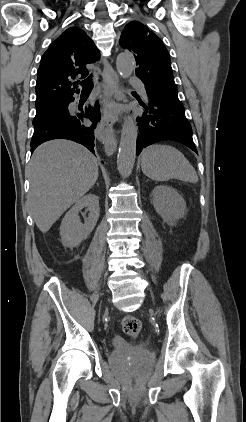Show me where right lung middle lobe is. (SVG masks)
<instances>
[{"mask_svg":"<svg viewBox=\"0 0 246 422\" xmlns=\"http://www.w3.org/2000/svg\"><path fill=\"white\" fill-rule=\"evenodd\" d=\"M64 111H66V106L63 102L48 106L46 108L37 109L33 123L49 117L60 115Z\"/></svg>","mask_w":246,"mask_h":422,"instance_id":"right-lung-middle-lobe-1","label":"right lung middle lobe"}]
</instances>
